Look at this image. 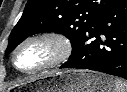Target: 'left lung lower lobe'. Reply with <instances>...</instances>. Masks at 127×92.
<instances>
[{"label":"left lung lower lobe","mask_w":127,"mask_h":92,"mask_svg":"<svg viewBox=\"0 0 127 92\" xmlns=\"http://www.w3.org/2000/svg\"><path fill=\"white\" fill-rule=\"evenodd\" d=\"M60 68L89 69L127 79V0L92 25Z\"/></svg>","instance_id":"1"}]
</instances>
